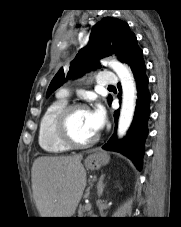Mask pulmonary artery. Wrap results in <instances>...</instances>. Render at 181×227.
Instances as JSON below:
<instances>
[{
	"label": "pulmonary artery",
	"instance_id": "e3ab8cb5",
	"mask_svg": "<svg viewBox=\"0 0 181 227\" xmlns=\"http://www.w3.org/2000/svg\"><path fill=\"white\" fill-rule=\"evenodd\" d=\"M118 82V77L114 73L109 72H100L97 77V84L99 86H108L113 85ZM60 96L68 97L69 91L66 89H62L59 92Z\"/></svg>",
	"mask_w": 181,
	"mask_h": 227
}]
</instances>
